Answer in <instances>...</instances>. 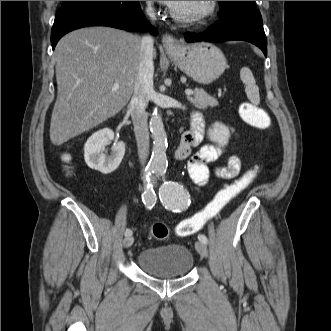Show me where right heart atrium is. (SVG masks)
<instances>
[{
  "mask_svg": "<svg viewBox=\"0 0 331 331\" xmlns=\"http://www.w3.org/2000/svg\"><path fill=\"white\" fill-rule=\"evenodd\" d=\"M146 2H147V7H148V9H151L152 1H146Z\"/></svg>",
  "mask_w": 331,
  "mask_h": 331,
  "instance_id": "1",
  "label": "right heart atrium"
}]
</instances>
